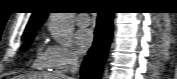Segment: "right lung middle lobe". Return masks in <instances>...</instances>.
<instances>
[{
  "instance_id": "dd1d6c3e",
  "label": "right lung middle lobe",
  "mask_w": 177,
  "mask_h": 79,
  "mask_svg": "<svg viewBox=\"0 0 177 79\" xmlns=\"http://www.w3.org/2000/svg\"><path fill=\"white\" fill-rule=\"evenodd\" d=\"M35 31L36 30L29 31L26 34H23L22 40H25V43H24V45H23V47L21 49L22 51L27 50L29 48V46L31 45V43H32V41H33V39H34V37L36 35Z\"/></svg>"
}]
</instances>
